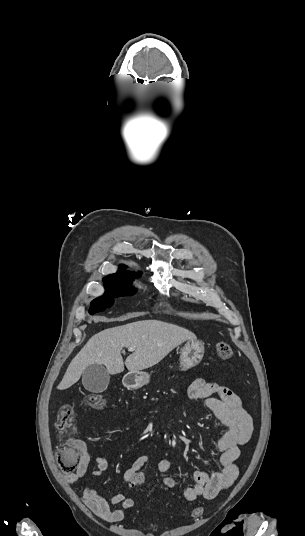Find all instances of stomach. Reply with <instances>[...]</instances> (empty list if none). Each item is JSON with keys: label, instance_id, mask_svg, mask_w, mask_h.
Returning a JSON list of instances; mask_svg holds the SVG:
<instances>
[{"label": "stomach", "instance_id": "0dacf381", "mask_svg": "<svg viewBox=\"0 0 305 536\" xmlns=\"http://www.w3.org/2000/svg\"><path fill=\"white\" fill-rule=\"evenodd\" d=\"M204 356V344L200 340H187L183 348L180 350V366L182 370H189L194 368L199 362H201ZM131 388H141L149 384V374L146 372H134V374H127L126 376Z\"/></svg>", "mask_w": 305, "mask_h": 536}]
</instances>
